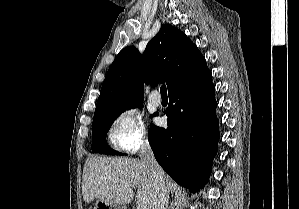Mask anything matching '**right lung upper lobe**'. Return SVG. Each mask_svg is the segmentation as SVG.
<instances>
[{
	"mask_svg": "<svg viewBox=\"0 0 299 209\" xmlns=\"http://www.w3.org/2000/svg\"><path fill=\"white\" fill-rule=\"evenodd\" d=\"M210 73L205 58L180 30L162 25L143 55L134 46L122 49L102 84L94 115L143 102V85L165 82L168 92Z\"/></svg>",
	"mask_w": 299,
	"mask_h": 209,
	"instance_id": "1",
	"label": "right lung upper lobe"
}]
</instances>
